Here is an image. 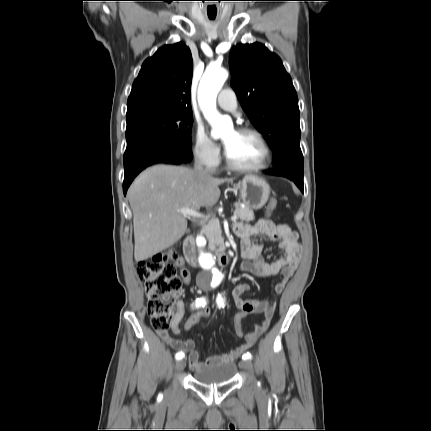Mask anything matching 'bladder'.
Listing matches in <instances>:
<instances>
[{"mask_svg":"<svg viewBox=\"0 0 431 431\" xmlns=\"http://www.w3.org/2000/svg\"><path fill=\"white\" fill-rule=\"evenodd\" d=\"M237 371L236 363L229 362L195 370L192 376L200 384L214 386L231 382Z\"/></svg>","mask_w":431,"mask_h":431,"instance_id":"31cf9c89","label":"bladder"}]
</instances>
